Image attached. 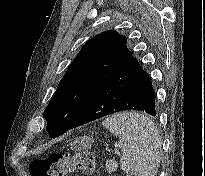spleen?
I'll return each instance as SVG.
<instances>
[{"label": "spleen", "mask_w": 205, "mask_h": 176, "mask_svg": "<svg viewBox=\"0 0 205 176\" xmlns=\"http://www.w3.org/2000/svg\"><path fill=\"white\" fill-rule=\"evenodd\" d=\"M103 126L119 138L120 165L127 176H155L160 166L161 138L154 123L137 112L114 114Z\"/></svg>", "instance_id": "3e777b00"}]
</instances>
